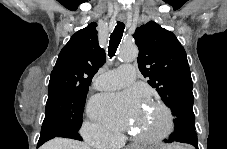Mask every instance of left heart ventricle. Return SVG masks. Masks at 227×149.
I'll list each match as a JSON object with an SVG mask.
<instances>
[{
    "label": "left heart ventricle",
    "mask_w": 227,
    "mask_h": 149,
    "mask_svg": "<svg viewBox=\"0 0 227 149\" xmlns=\"http://www.w3.org/2000/svg\"><path fill=\"white\" fill-rule=\"evenodd\" d=\"M164 124L162 111L149 102L136 113L133 131L136 135H151L162 130Z\"/></svg>",
    "instance_id": "b2bd125f"
}]
</instances>
